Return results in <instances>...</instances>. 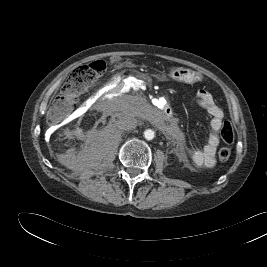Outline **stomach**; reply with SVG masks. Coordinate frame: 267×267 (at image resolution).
<instances>
[{"label": "stomach", "instance_id": "0dacf381", "mask_svg": "<svg viewBox=\"0 0 267 267\" xmlns=\"http://www.w3.org/2000/svg\"><path fill=\"white\" fill-rule=\"evenodd\" d=\"M170 77L176 81L184 83H195L201 80V76L188 68L175 67L170 71Z\"/></svg>", "mask_w": 267, "mask_h": 267}]
</instances>
